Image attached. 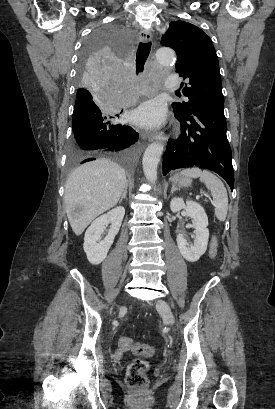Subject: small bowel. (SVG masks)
<instances>
[{
  "label": "small bowel",
  "instance_id": "small-bowel-1",
  "mask_svg": "<svg viewBox=\"0 0 275 409\" xmlns=\"http://www.w3.org/2000/svg\"><path fill=\"white\" fill-rule=\"evenodd\" d=\"M217 254V240L215 237L212 238L209 248V255L211 258H215ZM118 357H120V352H117Z\"/></svg>",
  "mask_w": 275,
  "mask_h": 409
}]
</instances>
